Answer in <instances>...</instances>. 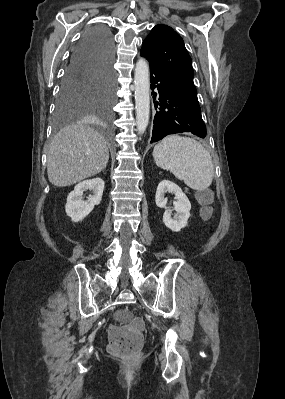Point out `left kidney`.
Segmentation results:
<instances>
[{
	"label": "left kidney",
	"mask_w": 285,
	"mask_h": 399,
	"mask_svg": "<svg viewBox=\"0 0 285 399\" xmlns=\"http://www.w3.org/2000/svg\"><path fill=\"white\" fill-rule=\"evenodd\" d=\"M167 192L174 193L177 200L174 203V210L176 211L174 218L171 217L172 210L167 208V199L165 198ZM155 202L159 208L166 209L163 215V223L166 227L174 232H179L187 226L191 203L178 185L169 180L161 181L157 187Z\"/></svg>",
	"instance_id": "5707ae66"
}]
</instances>
